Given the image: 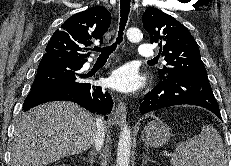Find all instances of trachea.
Instances as JSON below:
<instances>
[{"label": "trachea", "mask_w": 231, "mask_h": 166, "mask_svg": "<svg viewBox=\"0 0 231 166\" xmlns=\"http://www.w3.org/2000/svg\"><path fill=\"white\" fill-rule=\"evenodd\" d=\"M130 2L131 0H120V8H121V18H120V27L118 32V37L116 38V42L111 46L107 47H94V50L100 52V57H109L113 51H115L118 44H120L123 40V31L126 26L128 15L130 12ZM151 61H154L151 60Z\"/></svg>", "instance_id": "1"}]
</instances>
